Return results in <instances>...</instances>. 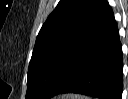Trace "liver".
<instances>
[{
    "instance_id": "obj_1",
    "label": "liver",
    "mask_w": 128,
    "mask_h": 99,
    "mask_svg": "<svg viewBox=\"0 0 128 99\" xmlns=\"http://www.w3.org/2000/svg\"><path fill=\"white\" fill-rule=\"evenodd\" d=\"M66 99H84V98H81V96L78 95L70 94L66 96Z\"/></svg>"
}]
</instances>
